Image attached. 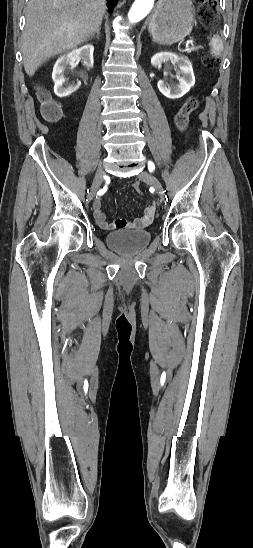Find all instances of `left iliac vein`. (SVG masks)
Returning a JSON list of instances; mask_svg holds the SVG:
<instances>
[{
  "label": "left iliac vein",
  "mask_w": 253,
  "mask_h": 548,
  "mask_svg": "<svg viewBox=\"0 0 253 548\" xmlns=\"http://www.w3.org/2000/svg\"><path fill=\"white\" fill-rule=\"evenodd\" d=\"M140 179L148 182L151 186H153L155 188V190L158 192V194L163 197L164 193H163V187L161 185V183L159 182V180L152 174L148 173V172H141L140 175H139Z\"/></svg>",
  "instance_id": "4c4485c4"
}]
</instances>
